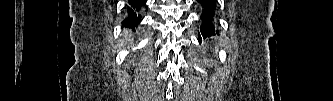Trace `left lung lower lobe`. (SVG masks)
<instances>
[{"mask_svg": "<svg viewBox=\"0 0 333 101\" xmlns=\"http://www.w3.org/2000/svg\"><path fill=\"white\" fill-rule=\"evenodd\" d=\"M202 7L204 8L201 19H202V26L200 28V32H198V40L199 42L202 41V37L206 38L213 34L214 26L212 24V18L214 14V9L216 6L215 0H197ZM218 33V31H217Z\"/></svg>", "mask_w": 333, "mask_h": 101, "instance_id": "obj_1", "label": "left lung lower lobe"}]
</instances>
